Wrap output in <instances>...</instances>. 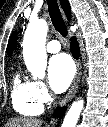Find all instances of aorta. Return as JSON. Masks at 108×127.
Wrapping results in <instances>:
<instances>
[{"mask_svg":"<svg viewBox=\"0 0 108 127\" xmlns=\"http://www.w3.org/2000/svg\"><path fill=\"white\" fill-rule=\"evenodd\" d=\"M47 22L44 19L31 20L25 31L23 40V57L28 71L33 79H43L47 66L45 50ZM82 99L74 102L67 112L62 127H76L80 113L83 109Z\"/></svg>","mask_w":108,"mask_h":127,"instance_id":"obj_1","label":"aorta"}]
</instances>
